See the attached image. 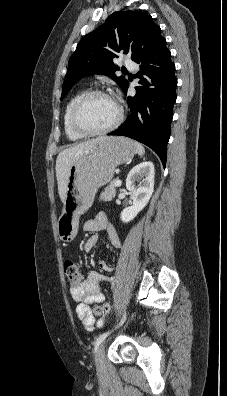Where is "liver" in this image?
I'll return each mask as SVG.
<instances>
[{"label":"liver","instance_id":"1","mask_svg":"<svg viewBox=\"0 0 227 396\" xmlns=\"http://www.w3.org/2000/svg\"><path fill=\"white\" fill-rule=\"evenodd\" d=\"M104 137L91 139L79 144H76L70 148H67L59 153L56 160V178L58 183V193L61 201L64 203L66 196L67 179L69 176V170L71 165L82 156L84 153L89 151Z\"/></svg>","mask_w":227,"mask_h":396}]
</instances>
